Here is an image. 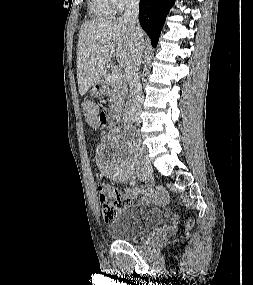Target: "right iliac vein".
<instances>
[{"label":"right iliac vein","instance_id":"right-iliac-vein-1","mask_svg":"<svg viewBox=\"0 0 253 285\" xmlns=\"http://www.w3.org/2000/svg\"><path fill=\"white\" fill-rule=\"evenodd\" d=\"M151 171H152V167H151L150 162L148 160H144L141 166V178L143 180H146L151 174Z\"/></svg>","mask_w":253,"mask_h":285}]
</instances>
